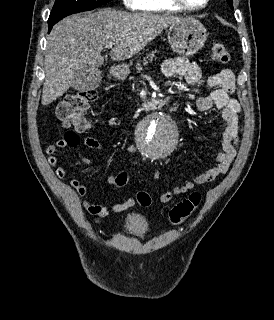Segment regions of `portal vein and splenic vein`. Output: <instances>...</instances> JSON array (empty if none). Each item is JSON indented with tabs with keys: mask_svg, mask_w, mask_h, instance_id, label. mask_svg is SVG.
<instances>
[{
	"mask_svg": "<svg viewBox=\"0 0 274 320\" xmlns=\"http://www.w3.org/2000/svg\"><path fill=\"white\" fill-rule=\"evenodd\" d=\"M112 46H113V44H106L105 48H108V50H109V48H112Z\"/></svg>",
	"mask_w": 274,
	"mask_h": 320,
	"instance_id": "18ae733b",
	"label": "portal vein and splenic vein"
}]
</instances>
